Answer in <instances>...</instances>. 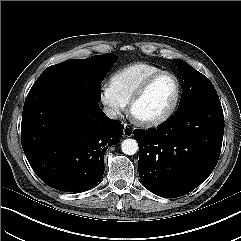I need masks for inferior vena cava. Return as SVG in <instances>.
<instances>
[{
    "mask_svg": "<svg viewBox=\"0 0 241 241\" xmlns=\"http://www.w3.org/2000/svg\"><path fill=\"white\" fill-rule=\"evenodd\" d=\"M104 113L111 119H116L118 110L112 107H104Z\"/></svg>",
    "mask_w": 241,
    "mask_h": 241,
    "instance_id": "602c4592",
    "label": "inferior vena cava"
}]
</instances>
